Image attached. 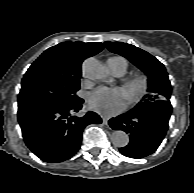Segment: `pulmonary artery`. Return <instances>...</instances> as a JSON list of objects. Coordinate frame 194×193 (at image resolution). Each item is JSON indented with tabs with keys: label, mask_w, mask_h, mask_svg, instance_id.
<instances>
[{
	"label": "pulmonary artery",
	"mask_w": 194,
	"mask_h": 193,
	"mask_svg": "<svg viewBox=\"0 0 194 193\" xmlns=\"http://www.w3.org/2000/svg\"><path fill=\"white\" fill-rule=\"evenodd\" d=\"M108 69L117 76L124 74V60L121 57H111L107 60Z\"/></svg>",
	"instance_id": "1"
}]
</instances>
